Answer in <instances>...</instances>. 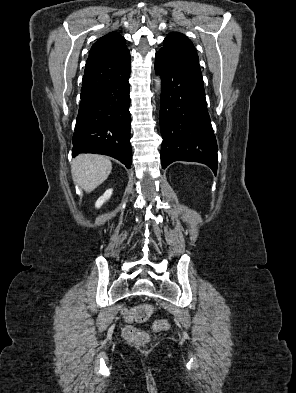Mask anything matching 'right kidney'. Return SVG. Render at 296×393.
Listing matches in <instances>:
<instances>
[{
	"label": "right kidney",
	"mask_w": 296,
	"mask_h": 393,
	"mask_svg": "<svg viewBox=\"0 0 296 393\" xmlns=\"http://www.w3.org/2000/svg\"><path fill=\"white\" fill-rule=\"evenodd\" d=\"M112 192V189L106 190L105 193L96 201L95 207L100 208L111 197Z\"/></svg>",
	"instance_id": "1"
}]
</instances>
